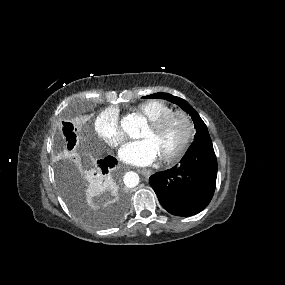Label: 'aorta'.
I'll return each mask as SVG.
<instances>
[{
  "label": "aorta",
  "mask_w": 285,
  "mask_h": 285,
  "mask_svg": "<svg viewBox=\"0 0 285 285\" xmlns=\"http://www.w3.org/2000/svg\"><path fill=\"white\" fill-rule=\"evenodd\" d=\"M145 125V120L140 115H130L123 121V128L126 133L133 138L140 135L141 128ZM124 182L126 186L133 188L139 183V176L135 172H128L125 175Z\"/></svg>",
  "instance_id": "1"
}]
</instances>
